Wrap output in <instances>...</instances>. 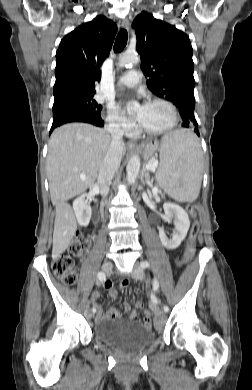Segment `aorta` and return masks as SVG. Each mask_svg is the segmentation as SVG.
Instances as JSON below:
<instances>
[{"instance_id": "1", "label": "aorta", "mask_w": 252, "mask_h": 390, "mask_svg": "<svg viewBox=\"0 0 252 390\" xmlns=\"http://www.w3.org/2000/svg\"><path fill=\"white\" fill-rule=\"evenodd\" d=\"M138 60H139V58L136 54H127L126 53L120 58L119 65L121 67H124L127 65L135 64L138 62ZM135 106H136V103H128L127 109L130 110V109L134 108ZM139 170H140V158L137 155L132 156L129 159L127 167H126V172H127L126 178H127V182L129 184L135 183V181L138 177V174H139Z\"/></svg>"}]
</instances>
